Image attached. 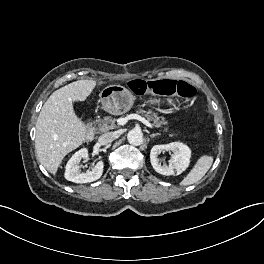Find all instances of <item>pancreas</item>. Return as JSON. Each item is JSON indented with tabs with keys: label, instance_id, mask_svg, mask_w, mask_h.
Masks as SVG:
<instances>
[{
	"label": "pancreas",
	"instance_id": "cf45deb5",
	"mask_svg": "<svg viewBox=\"0 0 264 264\" xmlns=\"http://www.w3.org/2000/svg\"><path fill=\"white\" fill-rule=\"evenodd\" d=\"M138 113L144 116L147 120L152 121L156 127H160L161 125L167 124L165 118L159 117L158 114L155 112L140 109ZM93 124L97 133L107 132L117 127L116 119L112 116H105L102 119H97L93 122ZM167 130L168 128H165V131Z\"/></svg>",
	"mask_w": 264,
	"mask_h": 264
}]
</instances>
